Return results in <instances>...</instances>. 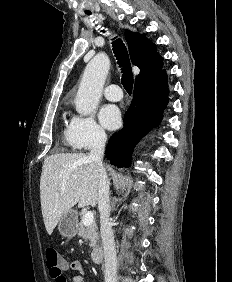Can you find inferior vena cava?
<instances>
[{
	"mask_svg": "<svg viewBox=\"0 0 232 282\" xmlns=\"http://www.w3.org/2000/svg\"><path fill=\"white\" fill-rule=\"evenodd\" d=\"M107 136L104 131H98L95 135L91 146L88 160L94 162L100 172L98 184V208L100 211V233L102 245L104 249L105 259V279L110 282H115L117 276V259L115 250L114 234L112 225L109 220L110 204H109V189L110 182L107 177L106 170L103 166L102 160L104 155V148Z\"/></svg>",
	"mask_w": 232,
	"mask_h": 282,
	"instance_id": "obj_1",
	"label": "inferior vena cava"
}]
</instances>
